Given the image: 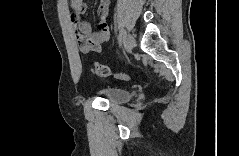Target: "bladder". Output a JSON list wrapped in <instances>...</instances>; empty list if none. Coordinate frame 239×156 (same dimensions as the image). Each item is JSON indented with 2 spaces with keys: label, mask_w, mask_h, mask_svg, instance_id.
<instances>
[{
  "label": "bladder",
  "mask_w": 239,
  "mask_h": 156,
  "mask_svg": "<svg viewBox=\"0 0 239 156\" xmlns=\"http://www.w3.org/2000/svg\"><path fill=\"white\" fill-rule=\"evenodd\" d=\"M99 92L113 104H124L132 98L131 91L122 88H105Z\"/></svg>",
  "instance_id": "31cf9c89"
}]
</instances>
